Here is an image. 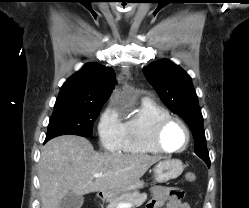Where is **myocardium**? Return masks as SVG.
I'll list each match as a JSON object with an SVG mask.
<instances>
[{"instance_id": "f54148a6", "label": "myocardium", "mask_w": 249, "mask_h": 208, "mask_svg": "<svg viewBox=\"0 0 249 208\" xmlns=\"http://www.w3.org/2000/svg\"><path fill=\"white\" fill-rule=\"evenodd\" d=\"M173 122L180 124L186 133V142L184 146L180 149H168L163 145V142H162V134L164 130L169 124ZM190 141H191V131L188 125L186 124V122L182 120L181 118L172 116V115L166 116L162 118L161 120H159L154 126L152 136H151V142L153 146L161 153H169V154L182 153L188 148Z\"/></svg>"}]
</instances>
